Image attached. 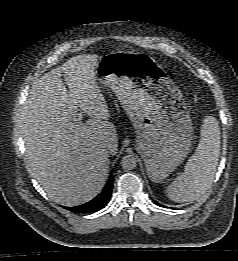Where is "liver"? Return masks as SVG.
Wrapping results in <instances>:
<instances>
[{
	"mask_svg": "<svg viewBox=\"0 0 238 261\" xmlns=\"http://www.w3.org/2000/svg\"><path fill=\"white\" fill-rule=\"evenodd\" d=\"M99 59L95 54L77 55L41 76L32 85L20 119L29 173L64 206L86 203L100 193L109 153L118 150L116 127L96 81ZM78 107L91 117L86 123L75 122Z\"/></svg>",
	"mask_w": 238,
	"mask_h": 261,
	"instance_id": "6515ba94",
	"label": "liver"
}]
</instances>
